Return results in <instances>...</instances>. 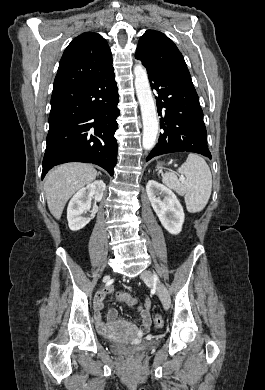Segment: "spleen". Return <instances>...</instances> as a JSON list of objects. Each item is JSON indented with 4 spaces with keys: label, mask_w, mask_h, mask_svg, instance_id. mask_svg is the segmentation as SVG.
I'll return each instance as SVG.
<instances>
[{
    "label": "spleen",
    "mask_w": 265,
    "mask_h": 390,
    "mask_svg": "<svg viewBox=\"0 0 265 390\" xmlns=\"http://www.w3.org/2000/svg\"><path fill=\"white\" fill-rule=\"evenodd\" d=\"M178 173L186 179L180 181L176 172H168L162 175V182L184 196L186 208L190 213L202 211L212 191V175L208 164L201 156L191 153L178 169Z\"/></svg>",
    "instance_id": "1"
}]
</instances>
